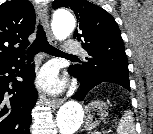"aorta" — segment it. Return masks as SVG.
I'll use <instances>...</instances> for the list:
<instances>
[{
    "label": "aorta",
    "instance_id": "762f6f07",
    "mask_svg": "<svg viewBox=\"0 0 153 134\" xmlns=\"http://www.w3.org/2000/svg\"><path fill=\"white\" fill-rule=\"evenodd\" d=\"M75 28L74 17L65 10L54 14L52 29L58 40L66 39ZM84 111L82 106L74 100L63 104L56 117V123L60 134H74L83 122Z\"/></svg>",
    "mask_w": 153,
    "mask_h": 134
}]
</instances>
